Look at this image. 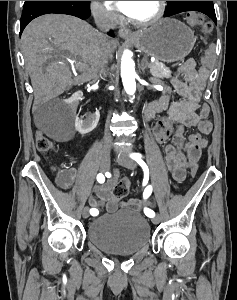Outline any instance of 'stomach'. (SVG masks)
<instances>
[{
	"mask_svg": "<svg viewBox=\"0 0 237 300\" xmlns=\"http://www.w3.org/2000/svg\"><path fill=\"white\" fill-rule=\"evenodd\" d=\"M134 35L135 39L131 43L136 49L164 63L181 61L189 55L196 43L190 27L177 19H160L157 23H151L147 29L136 31Z\"/></svg>",
	"mask_w": 237,
	"mask_h": 300,
	"instance_id": "0dacf381",
	"label": "stomach"
}]
</instances>
